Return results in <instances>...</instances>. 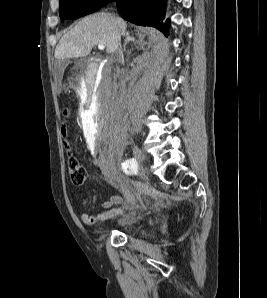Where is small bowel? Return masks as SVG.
I'll return each instance as SVG.
<instances>
[{"label":"small bowel","mask_w":267,"mask_h":298,"mask_svg":"<svg viewBox=\"0 0 267 298\" xmlns=\"http://www.w3.org/2000/svg\"><path fill=\"white\" fill-rule=\"evenodd\" d=\"M112 184L121 194L111 195L102 203L103 211L97 215L82 213L81 221L86 225H95L100 222L118 218L124 214L128 202L134 197V191L122 178H112Z\"/></svg>","instance_id":"c3829d8e"}]
</instances>
